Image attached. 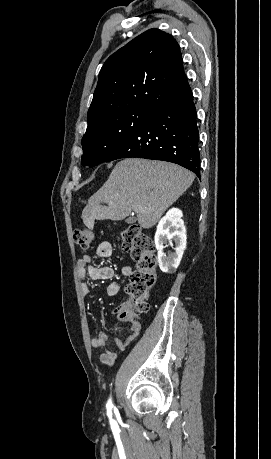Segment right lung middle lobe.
<instances>
[{"label": "right lung middle lobe", "instance_id": "right-lung-middle-lobe-1", "mask_svg": "<svg viewBox=\"0 0 271 459\" xmlns=\"http://www.w3.org/2000/svg\"><path fill=\"white\" fill-rule=\"evenodd\" d=\"M155 110L153 107L140 105L89 121L82 138V165L94 167L105 162Z\"/></svg>", "mask_w": 271, "mask_h": 459}]
</instances>
